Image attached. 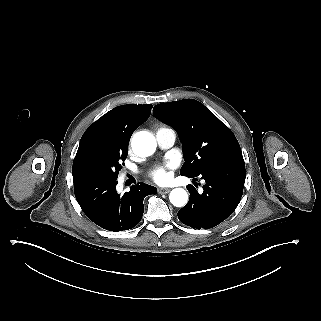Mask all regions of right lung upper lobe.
Here are the masks:
<instances>
[{
    "label": "right lung upper lobe",
    "instance_id": "obj_1",
    "mask_svg": "<svg viewBox=\"0 0 321 321\" xmlns=\"http://www.w3.org/2000/svg\"><path fill=\"white\" fill-rule=\"evenodd\" d=\"M152 105H122L113 108L90 128L104 127L114 139H130L134 130L142 124L151 113Z\"/></svg>",
    "mask_w": 321,
    "mask_h": 321
}]
</instances>
